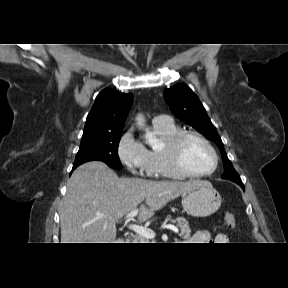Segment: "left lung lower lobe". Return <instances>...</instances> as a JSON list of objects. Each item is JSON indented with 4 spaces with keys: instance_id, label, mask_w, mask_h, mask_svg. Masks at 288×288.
I'll return each mask as SVG.
<instances>
[{
    "instance_id": "0a47b994",
    "label": "left lung lower lobe",
    "mask_w": 288,
    "mask_h": 288,
    "mask_svg": "<svg viewBox=\"0 0 288 288\" xmlns=\"http://www.w3.org/2000/svg\"><path fill=\"white\" fill-rule=\"evenodd\" d=\"M237 184H239V183H237ZM241 187H242V189L244 190V185L241 183V184H239Z\"/></svg>"
}]
</instances>
